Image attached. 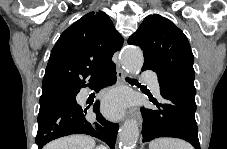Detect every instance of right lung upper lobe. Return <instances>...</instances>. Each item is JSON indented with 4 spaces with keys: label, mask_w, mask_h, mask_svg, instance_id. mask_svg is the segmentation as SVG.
Segmentation results:
<instances>
[{
    "label": "right lung upper lobe",
    "mask_w": 227,
    "mask_h": 149,
    "mask_svg": "<svg viewBox=\"0 0 227 149\" xmlns=\"http://www.w3.org/2000/svg\"><path fill=\"white\" fill-rule=\"evenodd\" d=\"M123 45L104 12H90L67 28L54 45L42 89L54 85L81 87L96 80L113 65L112 56Z\"/></svg>",
    "instance_id": "right-lung-upper-lobe-1"
}]
</instances>
